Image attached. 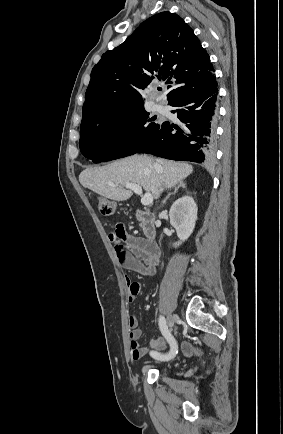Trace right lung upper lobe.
<instances>
[{
	"label": "right lung upper lobe",
	"instance_id": "right-lung-upper-lobe-1",
	"mask_svg": "<svg viewBox=\"0 0 283 434\" xmlns=\"http://www.w3.org/2000/svg\"><path fill=\"white\" fill-rule=\"evenodd\" d=\"M213 71L208 53L180 16L153 15L93 67L80 129L143 107L140 92L155 76L169 84L170 104L213 83Z\"/></svg>",
	"mask_w": 283,
	"mask_h": 434
}]
</instances>
